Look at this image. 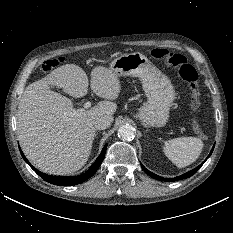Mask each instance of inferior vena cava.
Here are the masks:
<instances>
[{
    "instance_id": "1",
    "label": "inferior vena cava",
    "mask_w": 233,
    "mask_h": 233,
    "mask_svg": "<svg viewBox=\"0 0 233 233\" xmlns=\"http://www.w3.org/2000/svg\"><path fill=\"white\" fill-rule=\"evenodd\" d=\"M112 121V116L104 114L95 119L94 125L96 129L104 130L111 125Z\"/></svg>"
}]
</instances>
